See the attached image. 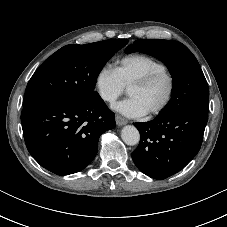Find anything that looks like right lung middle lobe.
<instances>
[{
    "label": "right lung middle lobe",
    "instance_id": "1",
    "mask_svg": "<svg viewBox=\"0 0 227 227\" xmlns=\"http://www.w3.org/2000/svg\"><path fill=\"white\" fill-rule=\"evenodd\" d=\"M127 40H105L84 45H67L51 55L27 84L23 107L53 98L88 100L106 62Z\"/></svg>",
    "mask_w": 227,
    "mask_h": 227
}]
</instances>
